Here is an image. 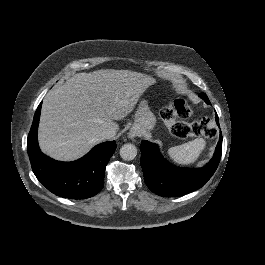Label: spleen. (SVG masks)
<instances>
[{
  "mask_svg": "<svg viewBox=\"0 0 265 265\" xmlns=\"http://www.w3.org/2000/svg\"><path fill=\"white\" fill-rule=\"evenodd\" d=\"M205 146L206 141L203 138H196L182 145L169 148L168 154L176 163L186 165L194 163Z\"/></svg>",
  "mask_w": 265,
  "mask_h": 265,
  "instance_id": "1",
  "label": "spleen"
}]
</instances>
